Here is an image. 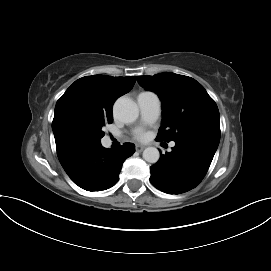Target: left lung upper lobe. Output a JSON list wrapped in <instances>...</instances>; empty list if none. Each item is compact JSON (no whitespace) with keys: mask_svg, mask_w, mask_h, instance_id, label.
Listing matches in <instances>:
<instances>
[{"mask_svg":"<svg viewBox=\"0 0 271 271\" xmlns=\"http://www.w3.org/2000/svg\"><path fill=\"white\" fill-rule=\"evenodd\" d=\"M138 83L162 101V126L156 140L193 138L219 144V110L195 79L174 73L138 76Z\"/></svg>","mask_w":271,"mask_h":271,"instance_id":"1","label":"left lung upper lobe"}]
</instances>
